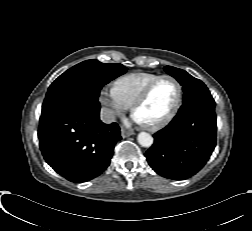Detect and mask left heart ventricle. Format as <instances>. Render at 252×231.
<instances>
[{
  "mask_svg": "<svg viewBox=\"0 0 252 231\" xmlns=\"http://www.w3.org/2000/svg\"><path fill=\"white\" fill-rule=\"evenodd\" d=\"M177 95L175 83L170 79L161 80L152 90L148 99L137 109L136 116L144 124H153L171 111Z\"/></svg>",
  "mask_w": 252,
  "mask_h": 231,
  "instance_id": "1",
  "label": "left heart ventricle"
}]
</instances>
